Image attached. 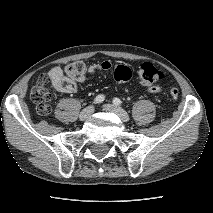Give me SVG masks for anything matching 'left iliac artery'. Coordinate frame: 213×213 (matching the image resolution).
Listing matches in <instances>:
<instances>
[{
  "mask_svg": "<svg viewBox=\"0 0 213 213\" xmlns=\"http://www.w3.org/2000/svg\"><path fill=\"white\" fill-rule=\"evenodd\" d=\"M113 103H114L115 105H121V104H122V101H121L119 98H114V99H113Z\"/></svg>",
  "mask_w": 213,
  "mask_h": 213,
  "instance_id": "left-iliac-artery-1",
  "label": "left iliac artery"
}]
</instances>
